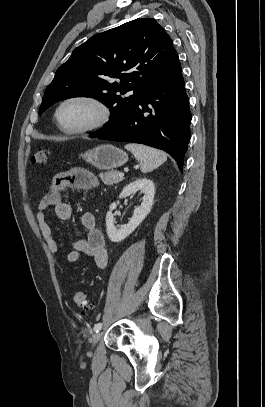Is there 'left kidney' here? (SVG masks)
Here are the masks:
<instances>
[{
	"label": "left kidney",
	"instance_id": "5707ae66",
	"mask_svg": "<svg viewBox=\"0 0 265 407\" xmlns=\"http://www.w3.org/2000/svg\"><path fill=\"white\" fill-rule=\"evenodd\" d=\"M137 191L143 193L144 196L141 205L135 208L133 217L128 224L117 228L114 225V216L112 214V211L116 209V202H113L109 207V211L106 214V232L112 242H120L129 236L151 210L155 194V186L154 183L147 178H140L128 184L120 193L119 198H125Z\"/></svg>",
	"mask_w": 265,
	"mask_h": 407
}]
</instances>
